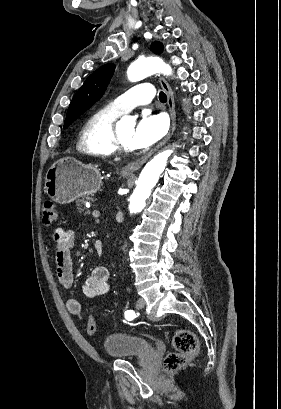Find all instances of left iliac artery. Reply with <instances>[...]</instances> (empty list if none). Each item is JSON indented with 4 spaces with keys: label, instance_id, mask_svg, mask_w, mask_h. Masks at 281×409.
Segmentation results:
<instances>
[{
    "label": "left iliac artery",
    "instance_id": "44dca946",
    "mask_svg": "<svg viewBox=\"0 0 281 409\" xmlns=\"http://www.w3.org/2000/svg\"><path fill=\"white\" fill-rule=\"evenodd\" d=\"M135 313H134V311H132V310H129V311H126L125 312V318L127 319V320H132V319H134L135 318Z\"/></svg>",
    "mask_w": 281,
    "mask_h": 409
}]
</instances>
